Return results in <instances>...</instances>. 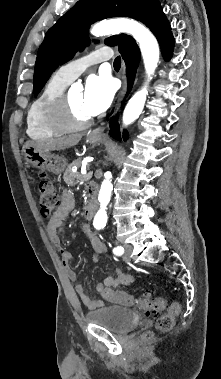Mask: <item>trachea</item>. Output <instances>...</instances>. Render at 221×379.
<instances>
[{
  "label": "trachea",
  "mask_w": 221,
  "mask_h": 379,
  "mask_svg": "<svg viewBox=\"0 0 221 379\" xmlns=\"http://www.w3.org/2000/svg\"><path fill=\"white\" fill-rule=\"evenodd\" d=\"M120 66H121V58L116 57L114 60V68H120Z\"/></svg>",
  "instance_id": "1"
}]
</instances>
